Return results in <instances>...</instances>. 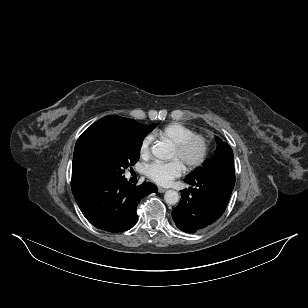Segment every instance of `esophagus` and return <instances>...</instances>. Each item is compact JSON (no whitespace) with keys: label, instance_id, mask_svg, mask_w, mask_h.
I'll list each match as a JSON object with an SVG mask.
<instances>
[{"label":"esophagus","instance_id":"1","mask_svg":"<svg viewBox=\"0 0 308 308\" xmlns=\"http://www.w3.org/2000/svg\"><path fill=\"white\" fill-rule=\"evenodd\" d=\"M166 191H167V189L162 188V187H158V192H159V193H164V192H166Z\"/></svg>","mask_w":308,"mask_h":308}]
</instances>
